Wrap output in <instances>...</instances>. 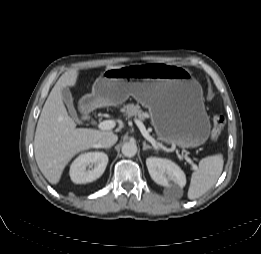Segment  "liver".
Masks as SVG:
<instances>
[{
    "label": "liver",
    "instance_id": "liver-1",
    "mask_svg": "<svg viewBox=\"0 0 261 254\" xmlns=\"http://www.w3.org/2000/svg\"><path fill=\"white\" fill-rule=\"evenodd\" d=\"M123 65H108L106 69ZM78 69H70L56 82L41 111L35 137L34 153L37 165L44 177L53 185L60 181L68 162L78 153L98 148L101 137L112 131L76 128L63 103L62 89L75 86Z\"/></svg>",
    "mask_w": 261,
    "mask_h": 254
}]
</instances>
